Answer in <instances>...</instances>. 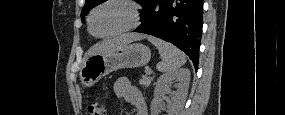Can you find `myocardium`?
<instances>
[{
	"label": "myocardium",
	"instance_id": "myocardium-1",
	"mask_svg": "<svg viewBox=\"0 0 285 115\" xmlns=\"http://www.w3.org/2000/svg\"><path fill=\"white\" fill-rule=\"evenodd\" d=\"M107 4H118V5H122L124 7H126L129 11V15H130V22L127 26L114 31V32H110V33H106V34H96L92 31V17L94 15V13L101 8L104 5ZM141 23V12L139 9V5L135 2V1H131V0H107V1H103L102 3H100L99 5L95 6L88 15L87 18V25H88V30L90 32L91 35L98 37V38H108V37H113V36H118V35H122L128 32H131L133 30H135Z\"/></svg>",
	"mask_w": 285,
	"mask_h": 115
}]
</instances>
